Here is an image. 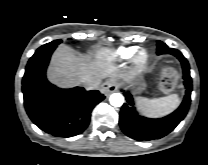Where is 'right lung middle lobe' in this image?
<instances>
[{
  "label": "right lung middle lobe",
  "mask_w": 208,
  "mask_h": 165,
  "mask_svg": "<svg viewBox=\"0 0 208 165\" xmlns=\"http://www.w3.org/2000/svg\"><path fill=\"white\" fill-rule=\"evenodd\" d=\"M61 42H62V40H55V41H52L50 43H47V44L41 46L40 48H38L35 53H39V52H42L43 50H45L47 48H50V47H53V46H57Z\"/></svg>",
  "instance_id": "dd1d6c3e"
}]
</instances>
